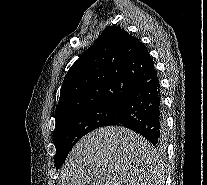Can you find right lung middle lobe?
Returning a JSON list of instances; mask_svg holds the SVG:
<instances>
[{"label":"right lung middle lobe","instance_id":"1","mask_svg":"<svg viewBox=\"0 0 207 185\" xmlns=\"http://www.w3.org/2000/svg\"><path fill=\"white\" fill-rule=\"evenodd\" d=\"M120 104H103L90 108L56 123L53 140L56 147L55 166L63 165L75 143L85 134L115 120Z\"/></svg>","mask_w":207,"mask_h":185}]
</instances>
